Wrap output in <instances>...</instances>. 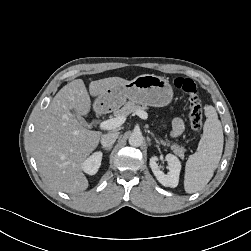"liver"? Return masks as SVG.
Returning a JSON list of instances; mask_svg holds the SVG:
<instances>
[{
	"instance_id": "1",
	"label": "liver",
	"mask_w": 251,
	"mask_h": 251,
	"mask_svg": "<svg viewBox=\"0 0 251 251\" xmlns=\"http://www.w3.org/2000/svg\"><path fill=\"white\" fill-rule=\"evenodd\" d=\"M125 82L120 77L92 81L89 93L100 96ZM90 109L85 84L82 79H76L61 88L36 123L33 155L44 178L57 190L77 194L89 186L82 164L98 146L102 133L84 128L75 114L87 115Z\"/></svg>"
}]
</instances>
